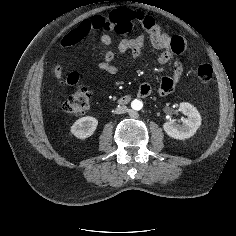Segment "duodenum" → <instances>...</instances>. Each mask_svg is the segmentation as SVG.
Masks as SVG:
<instances>
[{
  "label": "duodenum",
  "instance_id": "1",
  "mask_svg": "<svg viewBox=\"0 0 236 236\" xmlns=\"http://www.w3.org/2000/svg\"><path fill=\"white\" fill-rule=\"evenodd\" d=\"M130 101V96L129 95H124L119 99L120 104H126Z\"/></svg>",
  "mask_w": 236,
  "mask_h": 236
}]
</instances>
